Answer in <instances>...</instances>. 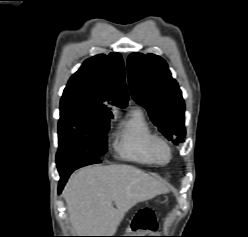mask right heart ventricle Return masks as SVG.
I'll return each instance as SVG.
<instances>
[{
	"instance_id": "right-heart-ventricle-1",
	"label": "right heart ventricle",
	"mask_w": 248,
	"mask_h": 237,
	"mask_svg": "<svg viewBox=\"0 0 248 237\" xmlns=\"http://www.w3.org/2000/svg\"><path fill=\"white\" fill-rule=\"evenodd\" d=\"M154 135L141 109L133 108L113 132L116 156L140 165H154L148 153V141Z\"/></svg>"
}]
</instances>
